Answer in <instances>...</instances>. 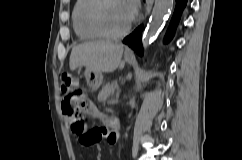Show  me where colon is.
<instances>
[{
	"label": "colon",
	"mask_w": 242,
	"mask_h": 160,
	"mask_svg": "<svg viewBox=\"0 0 242 160\" xmlns=\"http://www.w3.org/2000/svg\"><path fill=\"white\" fill-rule=\"evenodd\" d=\"M61 94L65 98L63 105V114L66 117L74 118L76 123L74 131L79 134V140L85 145H92L99 135V131L86 130L82 121V115L88 112L85 101L84 90L79 86L75 78L67 71L60 75Z\"/></svg>",
	"instance_id": "5ec220e1"
}]
</instances>
